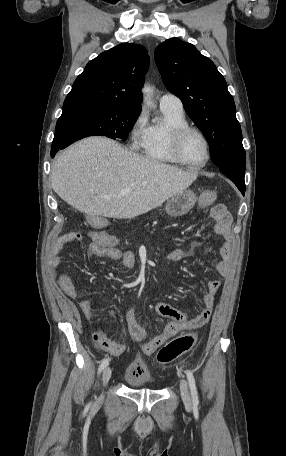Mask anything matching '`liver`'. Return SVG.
Returning <instances> with one entry per match:
<instances>
[{
	"label": "liver",
	"instance_id": "1",
	"mask_svg": "<svg viewBox=\"0 0 286 456\" xmlns=\"http://www.w3.org/2000/svg\"><path fill=\"white\" fill-rule=\"evenodd\" d=\"M194 170L144 158L105 137H89L69 146L51 169L59 197L90 216L134 218L185 191Z\"/></svg>",
	"mask_w": 286,
	"mask_h": 456
}]
</instances>
